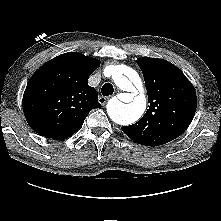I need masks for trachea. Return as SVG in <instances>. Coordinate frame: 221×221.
<instances>
[{
    "instance_id": "3493384b",
    "label": "trachea",
    "mask_w": 221,
    "mask_h": 221,
    "mask_svg": "<svg viewBox=\"0 0 221 221\" xmlns=\"http://www.w3.org/2000/svg\"><path fill=\"white\" fill-rule=\"evenodd\" d=\"M113 92H114V88H113V85L110 83H105L101 89V93L104 96L112 95Z\"/></svg>"
}]
</instances>
